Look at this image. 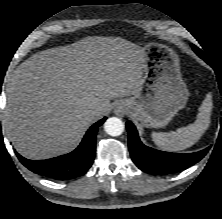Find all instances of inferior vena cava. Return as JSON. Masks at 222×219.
<instances>
[{"mask_svg":"<svg viewBox=\"0 0 222 219\" xmlns=\"http://www.w3.org/2000/svg\"><path fill=\"white\" fill-rule=\"evenodd\" d=\"M100 109L99 108H96V109H94L93 111H92V114H97V113H100Z\"/></svg>","mask_w":222,"mask_h":219,"instance_id":"602c4592","label":"inferior vena cava"}]
</instances>
